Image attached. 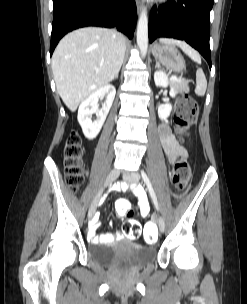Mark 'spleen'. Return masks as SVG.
Segmentation results:
<instances>
[{
    "instance_id": "spleen-1",
    "label": "spleen",
    "mask_w": 247,
    "mask_h": 304,
    "mask_svg": "<svg viewBox=\"0 0 247 304\" xmlns=\"http://www.w3.org/2000/svg\"><path fill=\"white\" fill-rule=\"evenodd\" d=\"M189 55L195 62L200 63V57L196 52H185ZM207 88V80L205 74L201 68H197L196 71V88L195 93L198 96H204Z\"/></svg>"
}]
</instances>
